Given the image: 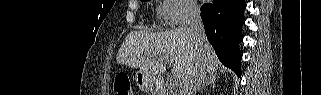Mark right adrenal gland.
Instances as JSON below:
<instances>
[{
    "mask_svg": "<svg viewBox=\"0 0 321 95\" xmlns=\"http://www.w3.org/2000/svg\"><path fill=\"white\" fill-rule=\"evenodd\" d=\"M215 81V77L214 76H209L208 78H206L202 84L200 85L199 89L204 88L205 86H208L210 83Z\"/></svg>",
    "mask_w": 321,
    "mask_h": 95,
    "instance_id": "1",
    "label": "right adrenal gland"
}]
</instances>
